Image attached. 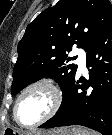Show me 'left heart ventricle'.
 <instances>
[{
    "mask_svg": "<svg viewBox=\"0 0 112 135\" xmlns=\"http://www.w3.org/2000/svg\"><path fill=\"white\" fill-rule=\"evenodd\" d=\"M53 105V95L44 87L29 90L21 98L18 106L19 119L25 124H32L43 118Z\"/></svg>",
    "mask_w": 112,
    "mask_h": 135,
    "instance_id": "left-heart-ventricle-1",
    "label": "left heart ventricle"
}]
</instances>
